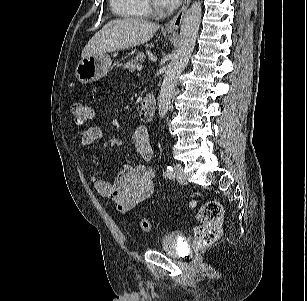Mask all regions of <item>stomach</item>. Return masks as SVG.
<instances>
[{"label": "stomach", "instance_id": "obj_1", "mask_svg": "<svg viewBox=\"0 0 307 301\" xmlns=\"http://www.w3.org/2000/svg\"><path fill=\"white\" fill-rule=\"evenodd\" d=\"M111 64V57L106 53L89 56L78 63L75 76L83 84L91 83L106 76Z\"/></svg>", "mask_w": 307, "mask_h": 301}]
</instances>
